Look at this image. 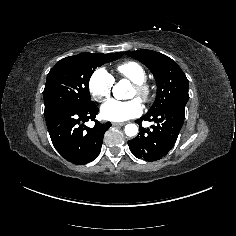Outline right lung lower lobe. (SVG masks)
<instances>
[{
  "mask_svg": "<svg viewBox=\"0 0 236 236\" xmlns=\"http://www.w3.org/2000/svg\"><path fill=\"white\" fill-rule=\"evenodd\" d=\"M95 103L84 108L59 105L45 110L51 141L59 154L73 164H86L100 153L105 132L111 123L96 121L93 128L84 126L98 113Z\"/></svg>",
  "mask_w": 236,
  "mask_h": 236,
  "instance_id": "1",
  "label": "right lung lower lobe"
}]
</instances>
